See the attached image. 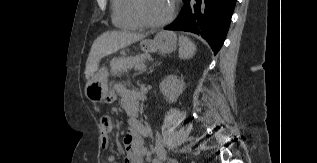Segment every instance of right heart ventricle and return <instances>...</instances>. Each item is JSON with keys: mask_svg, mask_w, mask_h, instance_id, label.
<instances>
[{"mask_svg": "<svg viewBox=\"0 0 317 163\" xmlns=\"http://www.w3.org/2000/svg\"><path fill=\"white\" fill-rule=\"evenodd\" d=\"M112 21L121 29L137 30L144 27L134 13L133 0H112Z\"/></svg>", "mask_w": 317, "mask_h": 163, "instance_id": "e07e8e85", "label": "right heart ventricle"}]
</instances>
